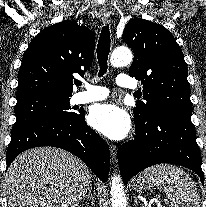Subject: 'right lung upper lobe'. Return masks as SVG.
<instances>
[{"label": "right lung upper lobe", "instance_id": "cb5924a9", "mask_svg": "<svg viewBox=\"0 0 206 207\" xmlns=\"http://www.w3.org/2000/svg\"><path fill=\"white\" fill-rule=\"evenodd\" d=\"M95 35L76 21L45 28L29 44L18 73L16 98L35 94L71 95L73 74L92 64Z\"/></svg>", "mask_w": 206, "mask_h": 207}]
</instances>
